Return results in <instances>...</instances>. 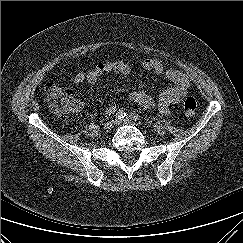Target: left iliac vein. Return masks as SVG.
Here are the masks:
<instances>
[{
	"mask_svg": "<svg viewBox=\"0 0 243 243\" xmlns=\"http://www.w3.org/2000/svg\"><path fill=\"white\" fill-rule=\"evenodd\" d=\"M116 123L120 124V125H134V126L137 125L136 123H134L133 121H131V120L127 119V118L122 119V120H117Z\"/></svg>",
	"mask_w": 243,
	"mask_h": 243,
	"instance_id": "1",
	"label": "left iliac vein"
}]
</instances>
